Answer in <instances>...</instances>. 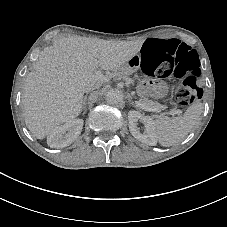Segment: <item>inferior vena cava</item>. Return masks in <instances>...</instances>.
Listing matches in <instances>:
<instances>
[{
    "instance_id": "602c4592",
    "label": "inferior vena cava",
    "mask_w": 227,
    "mask_h": 227,
    "mask_svg": "<svg viewBox=\"0 0 227 227\" xmlns=\"http://www.w3.org/2000/svg\"><path fill=\"white\" fill-rule=\"evenodd\" d=\"M101 87V84H90L86 87V91H90V90H93V89H96V88H99Z\"/></svg>"
}]
</instances>
